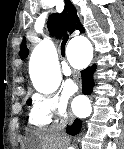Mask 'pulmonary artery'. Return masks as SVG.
<instances>
[{"instance_id":"e3ab8cb5","label":"pulmonary artery","mask_w":124,"mask_h":149,"mask_svg":"<svg viewBox=\"0 0 124 149\" xmlns=\"http://www.w3.org/2000/svg\"><path fill=\"white\" fill-rule=\"evenodd\" d=\"M63 73L65 75H70L71 74V67L70 65H66L64 68H63Z\"/></svg>"}]
</instances>
